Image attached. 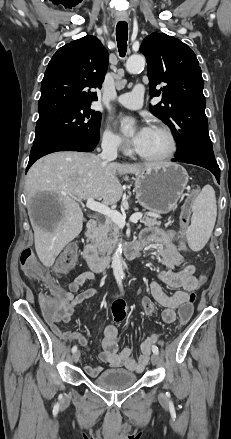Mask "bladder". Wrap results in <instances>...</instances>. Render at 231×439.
Here are the masks:
<instances>
[{"mask_svg":"<svg viewBox=\"0 0 231 439\" xmlns=\"http://www.w3.org/2000/svg\"><path fill=\"white\" fill-rule=\"evenodd\" d=\"M137 375L125 369H107L93 379L98 387L116 390L133 386L137 382Z\"/></svg>","mask_w":231,"mask_h":439,"instance_id":"obj_1","label":"bladder"}]
</instances>
